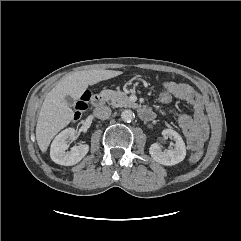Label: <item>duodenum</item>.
<instances>
[{"label": "duodenum", "mask_w": 241, "mask_h": 241, "mask_svg": "<svg viewBox=\"0 0 241 241\" xmlns=\"http://www.w3.org/2000/svg\"><path fill=\"white\" fill-rule=\"evenodd\" d=\"M104 101V96L101 94H95L91 99L92 105L96 108L101 107L104 104ZM139 114L140 117L146 121H149L154 118V113L148 108L141 109Z\"/></svg>", "instance_id": "410a0bca"}]
</instances>
